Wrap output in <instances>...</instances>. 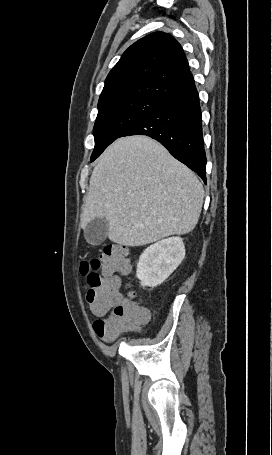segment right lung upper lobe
<instances>
[{
    "mask_svg": "<svg viewBox=\"0 0 272 455\" xmlns=\"http://www.w3.org/2000/svg\"><path fill=\"white\" fill-rule=\"evenodd\" d=\"M194 85L181 45L164 32L131 45L108 74L98 106L131 97L167 100Z\"/></svg>",
    "mask_w": 272,
    "mask_h": 455,
    "instance_id": "cb5924a9",
    "label": "right lung upper lobe"
}]
</instances>
